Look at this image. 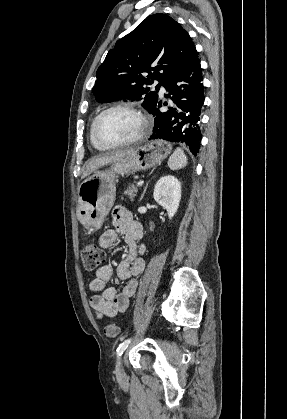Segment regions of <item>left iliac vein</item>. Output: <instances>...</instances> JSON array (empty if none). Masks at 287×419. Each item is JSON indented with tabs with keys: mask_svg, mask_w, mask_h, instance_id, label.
<instances>
[{
	"mask_svg": "<svg viewBox=\"0 0 287 419\" xmlns=\"http://www.w3.org/2000/svg\"><path fill=\"white\" fill-rule=\"evenodd\" d=\"M116 376L119 380H123L126 378L122 357H119L116 362Z\"/></svg>",
	"mask_w": 287,
	"mask_h": 419,
	"instance_id": "obj_1",
	"label": "left iliac vein"
}]
</instances>
